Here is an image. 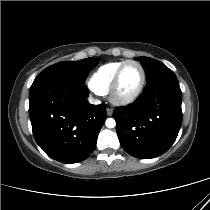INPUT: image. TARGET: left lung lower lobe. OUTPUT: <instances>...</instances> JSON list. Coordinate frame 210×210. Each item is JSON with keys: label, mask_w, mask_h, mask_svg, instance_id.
<instances>
[{"label": "left lung lower lobe", "mask_w": 210, "mask_h": 210, "mask_svg": "<svg viewBox=\"0 0 210 210\" xmlns=\"http://www.w3.org/2000/svg\"><path fill=\"white\" fill-rule=\"evenodd\" d=\"M181 103L182 92L172 71L147 82L134 103L114 110L123 149L140 159L165 153L182 124Z\"/></svg>", "instance_id": "left-lung-lower-lobe-1"}]
</instances>
